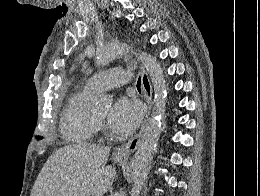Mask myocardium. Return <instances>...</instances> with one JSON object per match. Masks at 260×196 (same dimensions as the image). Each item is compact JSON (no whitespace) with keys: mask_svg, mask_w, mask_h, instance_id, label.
I'll list each match as a JSON object with an SVG mask.
<instances>
[{"mask_svg":"<svg viewBox=\"0 0 260 196\" xmlns=\"http://www.w3.org/2000/svg\"><path fill=\"white\" fill-rule=\"evenodd\" d=\"M92 117H93V122L96 127L100 128V129H105V124L95 115V113H93Z\"/></svg>","mask_w":260,"mask_h":196,"instance_id":"f54148a6","label":"myocardium"}]
</instances>
